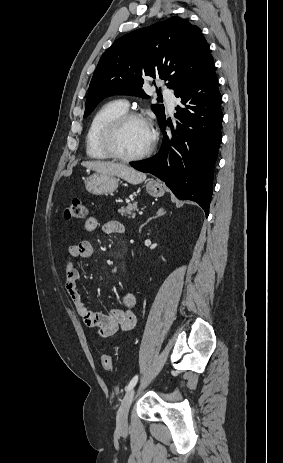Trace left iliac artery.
I'll return each instance as SVG.
<instances>
[{"label": "left iliac artery", "instance_id": "left-iliac-artery-1", "mask_svg": "<svg viewBox=\"0 0 283 463\" xmlns=\"http://www.w3.org/2000/svg\"><path fill=\"white\" fill-rule=\"evenodd\" d=\"M137 381H138V375H135L130 381V383L126 386L125 390L129 391L131 388H133L136 385Z\"/></svg>", "mask_w": 283, "mask_h": 463}]
</instances>
